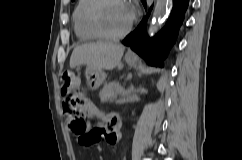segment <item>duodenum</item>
<instances>
[{
  "mask_svg": "<svg viewBox=\"0 0 242 160\" xmlns=\"http://www.w3.org/2000/svg\"><path fill=\"white\" fill-rule=\"evenodd\" d=\"M110 121H111V119L106 118V122H110Z\"/></svg>",
  "mask_w": 242,
  "mask_h": 160,
  "instance_id": "410a0bca",
  "label": "duodenum"
}]
</instances>
